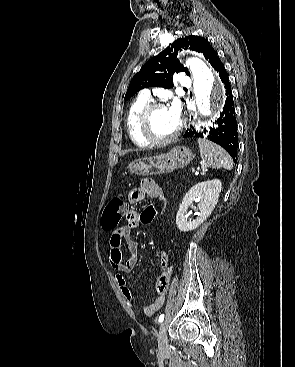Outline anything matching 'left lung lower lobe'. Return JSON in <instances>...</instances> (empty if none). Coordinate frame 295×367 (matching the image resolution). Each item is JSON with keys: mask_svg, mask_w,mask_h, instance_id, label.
I'll use <instances>...</instances> for the list:
<instances>
[{"mask_svg": "<svg viewBox=\"0 0 295 367\" xmlns=\"http://www.w3.org/2000/svg\"><path fill=\"white\" fill-rule=\"evenodd\" d=\"M213 68L218 72L221 81L224 84L226 92L225 105L220 117L215 121L216 127L210 128L209 131L202 129L196 131L192 126L188 128L183 135L184 138H204L219 144L223 147L233 158L236 163L237 160V148H238V134H237V122L235 118V106L232 98V91L229 82V77L226 69L218 58L215 61Z\"/></svg>", "mask_w": 295, "mask_h": 367, "instance_id": "obj_1", "label": "left lung lower lobe"}]
</instances>
